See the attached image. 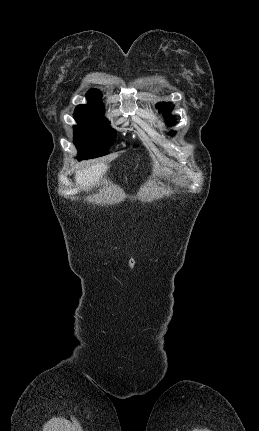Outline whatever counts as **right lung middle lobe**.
Wrapping results in <instances>:
<instances>
[{
	"instance_id": "dd1d6c3e",
	"label": "right lung middle lobe",
	"mask_w": 259,
	"mask_h": 431,
	"mask_svg": "<svg viewBox=\"0 0 259 431\" xmlns=\"http://www.w3.org/2000/svg\"><path fill=\"white\" fill-rule=\"evenodd\" d=\"M103 104L79 105L75 109L74 118L78 125L74 126V143L81 153L77 159H92L107 154L106 148L115 134L109 121L104 118Z\"/></svg>"
}]
</instances>
